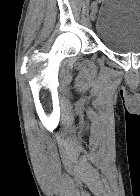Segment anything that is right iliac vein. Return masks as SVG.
Here are the masks:
<instances>
[{"mask_svg":"<svg viewBox=\"0 0 140 196\" xmlns=\"http://www.w3.org/2000/svg\"><path fill=\"white\" fill-rule=\"evenodd\" d=\"M90 16H91V20L95 21V19H96V9L95 8L92 9Z\"/></svg>","mask_w":140,"mask_h":196,"instance_id":"1","label":"right iliac vein"}]
</instances>
